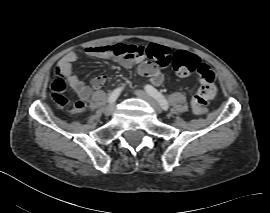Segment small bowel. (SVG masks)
Listing matches in <instances>:
<instances>
[{
  "label": "small bowel",
  "instance_id": "obj_1",
  "mask_svg": "<svg viewBox=\"0 0 270 213\" xmlns=\"http://www.w3.org/2000/svg\"><path fill=\"white\" fill-rule=\"evenodd\" d=\"M151 50L162 65H164L163 62L165 61L171 63V59L175 54V51L166 45L153 44ZM84 54L91 58L116 61L124 68H131L135 64L133 58L117 55L109 45L89 46L84 49ZM77 56V51H70L60 59L57 64L59 76L55 80L60 82L62 91L68 86L75 90L79 96V102L84 104L91 98L93 91L98 90L107 82L108 76H97L92 80L90 85H87L73 69L72 64L77 59ZM137 72L140 75L151 77V82L154 85H159L162 82L163 77L161 71L152 64L139 62L137 65ZM72 111L73 113H79L82 109L74 108Z\"/></svg>",
  "mask_w": 270,
  "mask_h": 213
}]
</instances>
